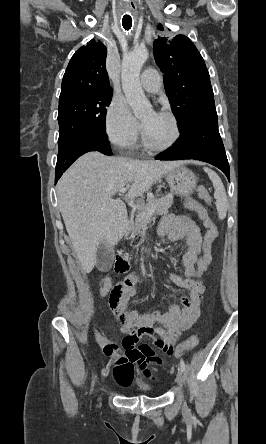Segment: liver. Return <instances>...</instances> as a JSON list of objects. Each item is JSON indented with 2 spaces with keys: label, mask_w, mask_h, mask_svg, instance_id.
<instances>
[{
  "label": "liver",
  "mask_w": 266,
  "mask_h": 444,
  "mask_svg": "<svg viewBox=\"0 0 266 444\" xmlns=\"http://www.w3.org/2000/svg\"><path fill=\"white\" fill-rule=\"evenodd\" d=\"M180 161H142L108 157L97 151L81 156L57 185L58 205L82 270L97 264L101 242L110 250L128 233L125 203L112 199L130 186L128 199L141 196Z\"/></svg>",
  "instance_id": "liver-1"
}]
</instances>
